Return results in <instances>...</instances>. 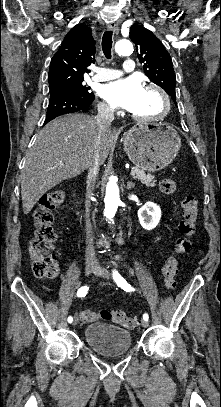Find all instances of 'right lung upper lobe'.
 <instances>
[{
    "label": "right lung upper lobe",
    "instance_id": "1",
    "mask_svg": "<svg viewBox=\"0 0 221 407\" xmlns=\"http://www.w3.org/2000/svg\"><path fill=\"white\" fill-rule=\"evenodd\" d=\"M95 40L91 29L77 24L65 36L51 59L48 81L50 90L83 82L87 68L95 62Z\"/></svg>",
    "mask_w": 221,
    "mask_h": 407
}]
</instances>
